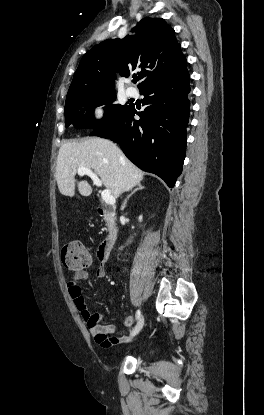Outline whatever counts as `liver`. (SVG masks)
<instances>
[{"mask_svg":"<svg viewBox=\"0 0 264 415\" xmlns=\"http://www.w3.org/2000/svg\"><path fill=\"white\" fill-rule=\"evenodd\" d=\"M82 167L93 170L114 197L131 190L144 177L112 141L99 137L70 141L61 145L57 157L56 179L62 195L74 196L76 184L82 196L91 195L90 184L75 179Z\"/></svg>","mask_w":264,"mask_h":415,"instance_id":"1","label":"liver"}]
</instances>
